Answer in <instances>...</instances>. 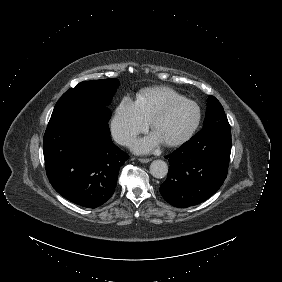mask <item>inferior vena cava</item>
<instances>
[{
  "instance_id": "inferior-vena-cava-1",
  "label": "inferior vena cava",
  "mask_w": 282,
  "mask_h": 282,
  "mask_svg": "<svg viewBox=\"0 0 282 282\" xmlns=\"http://www.w3.org/2000/svg\"><path fill=\"white\" fill-rule=\"evenodd\" d=\"M112 136L114 141L120 145H128L132 140V136L126 131L113 130Z\"/></svg>"
}]
</instances>
